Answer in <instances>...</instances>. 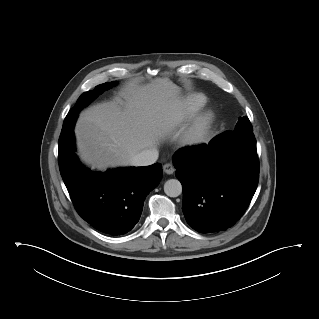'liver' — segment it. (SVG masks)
I'll return each instance as SVG.
<instances>
[{
	"label": "liver",
	"instance_id": "liver-1",
	"mask_svg": "<svg viewBox=\"0 0 319 319\" xmlns=\"http://www.w3.org/2000/svg\"><path fill=\"white\" fill-rule=\"evenodd\" d=\"M180 88L166 78L140 86L129 83L112 101L83 111L75 126L78 154L92 169L128 166L156 149L177 124Z\"/></svg>",
	"mask_w": 319,
	"mask_h": 319
}]
</instances>
